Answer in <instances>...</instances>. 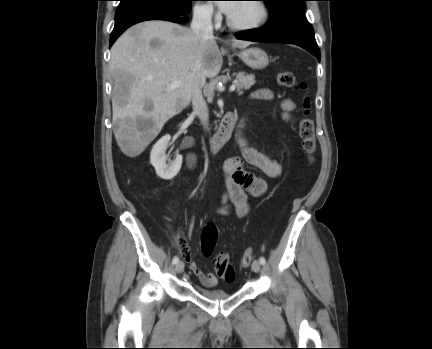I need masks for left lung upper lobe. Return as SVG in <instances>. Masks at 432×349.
<instances>
[{"label": "left lung upper lobe", "mask_w": 432, "mask_h": 349, "mask_svg": "<svg viewBox=\"0 0 432 349\" xmlns=\"http://www.w3.org/2000/svg\"><path fill=\"white\" fill-rule=\"evenodd\" d=\"M271 14L273 21L277 20H301L306 21L304 16L303 1L306 0H262Z\"/></svg>", "instance_id": "left-lung-upper-lobe-1"}]
</instances>
